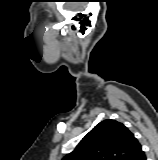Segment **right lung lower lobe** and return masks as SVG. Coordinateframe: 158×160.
<instances>
[{
	"mask_svg": "<svg viewBox=\"0 0 158 160\" xmlns=\"http://www.w3.org/2000/svg\"><path fill=\"white\" fill-rule=\"evenodd\" d=\"M133 160H146L144 151H141Z\"/></svg>",
	"mask_w": 158,
	"mask_h": 160,
	"instance_id": "1",
	"label": "right lung lower lobe"
}]
</instances>
